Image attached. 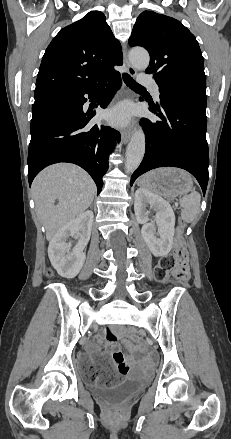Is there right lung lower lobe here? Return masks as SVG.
Wrapping results in <instances>:
<instances>
[{
    "label": "right lung lower lobe",
    "mask_w": 231,
    "mask_h": 439,
    "mask_svg": "<svg viewBox=\"0 0 231 439\" xmlns=\"http://www.w3.org/2000/svg\"><path fill=\"white\" fill-rule=\"evenodd\" d=\"M109 81L105 93L98 104L106 108L114 93L121 86L118 71L112 72L95 85L78 92L53 93L65 98L66 105L58 113L41 119H32L31 141L28 149V181L46 166L58 162H70L85 169L95 181L98 194L103 186L102 177L108 169V157L120 140L117 131L110 127L88 123L96 112H83L84 97H91L98 86Z\"/></svg>",
    "instance_id": "98d812e1"
}]
</instances>
